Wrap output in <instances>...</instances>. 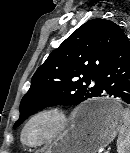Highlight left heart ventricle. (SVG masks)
Instances as JSON below:
<instances>
[{"label": "left heart ventricle", "instance_id": "left-heart-ventricle-1", "mask_svg": "<svg viewBox=\"0 0 130 153\" xmlns=\"http://www.w3.org/2000/svg\"><path fill=\"white\" fill-rule=\"evenodd\" d=\"M52 129V122L48 119H41L34 122L26 133V139L32 142L43 138Z\"/></svg>", "mask_w": 130, "mask_h": 153}]
</instances>
